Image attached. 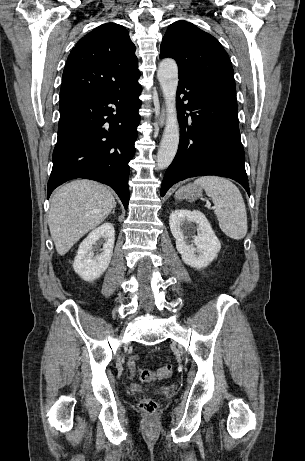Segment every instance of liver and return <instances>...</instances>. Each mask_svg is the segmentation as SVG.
I'll use <instances>...</instances> for the list:
<instances>
[{
    "instance_id": "obj_1",
    "label": "liver",
    "mask_w": 305,
    "mask_h": 461,
    "mask_svg": "<svg viewBox=\"0 0 305 461\" xmlns=\"http://www.w3.org/2000/svg\"><path fill=\"white\" fill-rule=\"evenodd\" d=\"M115 207L112 193L94 181L75 180L57 190L51 199L48 224L58 254L65 255Z\"/></svg>"
}]
</instances>
